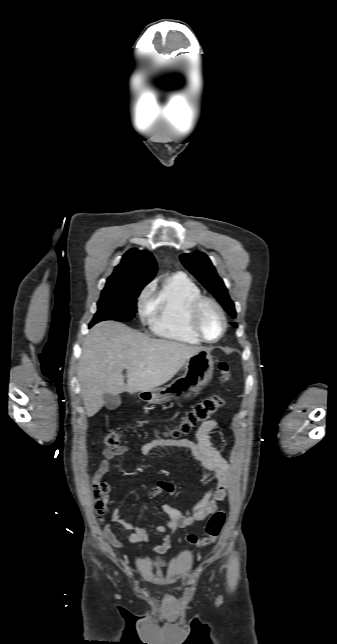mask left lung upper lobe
I'll use <instances>...</instances> for the list:
<instances>
[{
    "instance_id": "left-lung-upper-lobe-1",
    "label": "left lung upper lobe",
    "mask_w": 337,
    "mask_h": 644,
    "mask_svg": "<svg viewBox=\"0 0 337 644\" xmlns=\"http://www.w3.org/2000/svg\"><path fill=\"white\" fill-rule=\"evenodd\" d=\"M183 265L192 273L203 286L218 300L228 314L235 318L234 303L230 299L223 280L218 276L210 259L203 252H193L180 256ZM233 326L237 327L235 323Z\"/></svg>"
}]
</instances>
